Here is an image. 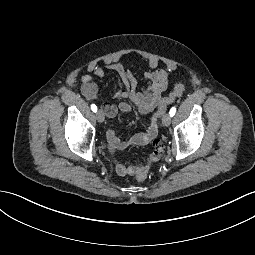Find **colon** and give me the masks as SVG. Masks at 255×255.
I'll return each mask as SVG.
<instances>
[{
  "label": "colon",
  "instance_id": "colon-1",
  "mask_svg": "<svg viewBox=\"0 0 255 255\" xmlns=\"http://www.w3.org/2000/svg\"><path fill=\"white\" fill-rule=\"evenodd\" d=\"M186 87L183 83H177L172 91L164 98L161 99L157 111L154 113V119L157 121L162 114L166 111L168 106L178 99L185 91ZM148 177L147 170H140L135 174V179L138 182H143Z\"/></svg>",
  "mask_w": 255,
  "mask_h": 255
}]
</instances>
